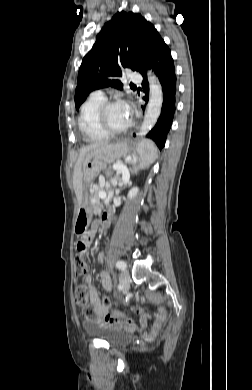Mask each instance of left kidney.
I'll use <instances>...</instances> for the list:
<instances>
[{"mask_svg": "<svg viewBox=\"0 0 252 390\" xmlns=\"http://www.w3.org/2000/svg\"><path fill=\"white\" fill-rule=\"evenodd\" d=\"M137 193H138V188H137V187H133V188L129 191V193H128V198H129V199L134 198V197L137 195Z\"/></svg>", "mask_w": 252, "mask_h": 390, "instance_id": "1", "label": "left kidney"}]
</instances>
